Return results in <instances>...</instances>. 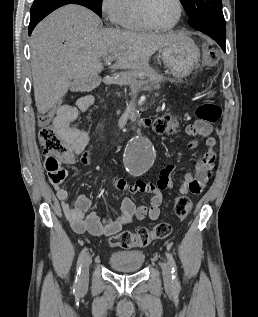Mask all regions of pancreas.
Instances as JSON below:
<instances>
[{
    "instance_id": "cf45deb5",
    "label": "pancreas",
    "mask_w": 258,
    "mask_h": 317,
    "mask_svg": "<svg viewBox=\"0 0 258 317\" xmlns=\"http://www.w3.org/2000/svg\"><path fill=\"white\" fill-rule=\"evenodd\" d=\"M161 81L158 77H117L116 79L114 76L108 77L109 83L125 84L126 87H129V91L134 90L136 93L159 89L158 83Z\"/></svg>"
}]
</instances>
